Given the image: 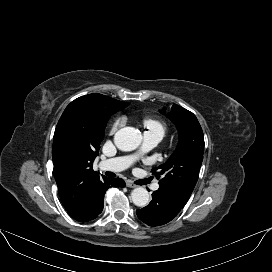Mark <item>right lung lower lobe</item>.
Masks as SVG:
<instances>
[{
	"mask_svg": "<svg viewBox=\"0 0 272 272\" xmlns=\"http://www.w3.org/2000/svg\"><path fill=\"white\" fill-rule=\"evenodd\" d=\"M124 186H125V182L121 178H115V179L107 178L105 183H103L102 186L99 189V197L96 200V202H95L94 206L92 207V209L85 216H83L82 218L77 219V220L87 222L89 220L95 219L103 209L105 192L110 187H124Z\"/></svg>",
	"mask_w": 272,
	"mask_h": 272,
	"instance_id": "right-lung-lower-lobe-1",
	"label": "right lung lower lobe"
}]
</instances>
